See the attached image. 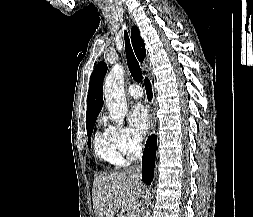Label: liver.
Wrapping results in <instances>:
<instances>
[{"mask_svg":"<svg viewBox=\"0 0 253 217\" xmlns=\"http://www.w3.org/2000/svg\"><path fill=\"white\" fill-rule=\"evenodd\" d=\"M144 193L141 180L132 178L127 172L99 174L92 188L95 217H115L119 211H126L127 217H136Z\"/></svg>","mask_w":253,"mask_h":217,"instance_id":"6515ba94","label":"liver"}]
</instances>
